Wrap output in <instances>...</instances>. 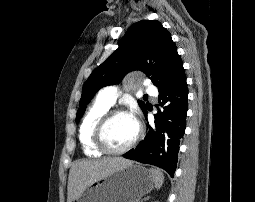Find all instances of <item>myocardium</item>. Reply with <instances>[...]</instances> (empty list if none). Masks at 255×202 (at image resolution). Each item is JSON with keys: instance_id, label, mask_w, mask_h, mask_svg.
<instances>
[{"instance_id": "myocardium-1", "label": "myocardium", "mask_w": 255, "mask_h": 202, "mask_svg": "<svg viewBox=\"0 0 255 202\" xmlns=\"http://www.w3.org/2000/svg\"><path fill=\"white\" fill-rule=\"evenodd\" d=\"M117 115H129V114L122 109H109L102 115V117L99 119L94 129L93 142L96 145V147L104 153L123 154L129 151L131 148H133L135 144L139 141L142 135V128L140 124H138L137 132L135 136L133 137V139L128 144L118 149L110 147L105 137L106 129L108 124L111 122V120Z\"/></svg>"}]
</instances>
